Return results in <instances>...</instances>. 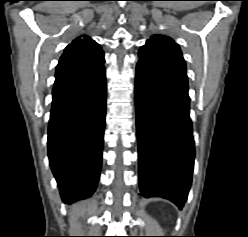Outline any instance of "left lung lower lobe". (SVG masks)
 <instances>
[{"instance_id": "obj_1", "label": "left lung lower lobe", "mask_w": 248, "mask_h": 237, "mask_svg": "<svg viewBox=\"0 0 248 237\" xmlns=\"http://www.w3.org/2000/svg\"><path fill=\"white\" fill-rule=\"evenodd\" d=\"M135 104L141 195L167 198L182 208L195 156L188 82L139 60Z\"/></svg>"}]
</instances>
